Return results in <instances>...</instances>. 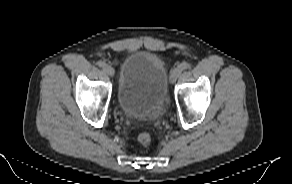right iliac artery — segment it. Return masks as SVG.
Instances as JSON below:
<instances>
[{
	"instance_id": "1",
	"label": "right iliac artery",
	"mask_w": 292,
	"mask_h": 184,
	"mask_svg": "<svg viewBox=\"0 0 292 184\" xmlns=\"http://www.w3.org/2000/svg\"><path fill=\"white\" fill-rule=\"evenodd\" d=\"M97 65L99 66V67H104L106 64H105V62H103V61H98L97 62Z\"/></svg>"
}]
</instances>
